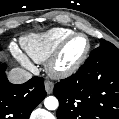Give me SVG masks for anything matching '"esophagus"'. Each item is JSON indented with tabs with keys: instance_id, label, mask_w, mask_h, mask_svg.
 <instances>
[{
	"instance_id": "esophagus-1",
	"label": "esophagus",
	"mask_w": 119,
	"mask_h": 119,
	"mask_svg": "<svg viewBox=\"0 0 119 119\" xmlns=\"http://www.w3.org/2000/svg\"><path fill=\"white\" fill-rule=\"evenodd\" d=\"M44 86L47 94H51L54 88V84L51 81H45Z\"/></svg>"
}]
</instances>
